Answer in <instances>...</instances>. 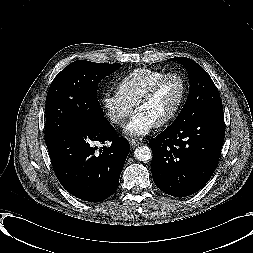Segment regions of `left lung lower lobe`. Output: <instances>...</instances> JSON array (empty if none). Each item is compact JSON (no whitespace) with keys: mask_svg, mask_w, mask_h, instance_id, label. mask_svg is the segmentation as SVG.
Listing matches in <instances>:
<instances>
[{"mask_svg":"<svg viewBox=\"0 0 253 253\" xmlns=\"http://www.w3.org/2000/svg\"><path fill=\"white\" fill-rule=\"evenodd\" d=\"M224 137L223 108L167 127L149 142L155 185L174 197L202 189L217 166Z\"/></svg>","mask_w":253,"mask_h":253,"instance_id":"obj_1","label":"left lung lower lobe"}]
</instances>
